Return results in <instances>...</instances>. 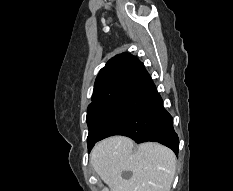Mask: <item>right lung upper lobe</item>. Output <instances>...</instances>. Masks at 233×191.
Segmentation results:
<instances>
[{
    "label": "right lung upper lobe",
    "mask_w": 233,
    "mask_h": 191,
    "mask_svg": "<svg viewBox=\"0 0 233 191\" xmlns=\"http://www.w3.org/2000/svg\"><path fill=\"white\" fill-rule=\"evenodd\" d=\"M144 71V65L135 56L128 53L114 56L100 70L95 80L92 103L126 92Z\"/></svg>",
    "instance_id": "right-lung-upper-lobe-1"
}]
</instances>
